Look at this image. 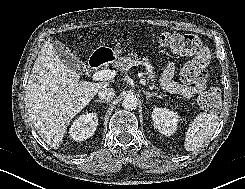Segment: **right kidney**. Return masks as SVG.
<instances>
[{
	"mask_svg": "<svg viewBox=\"0 0 245 189\" xmlns=\"http://www.w3.org/2000/svg\"><path fill=\"white\" fill-rule=\"evenodd\" d=\"M98 125V117L95 113L79 116L72 123L69 133L73 140L83 141L93 136Z\"/></svg>",
	"mask_w": 245,
	"mask_h": 189,
	"instance_id": "ca27d5eb",
	"label": "right kidney"
}]
</instances>
